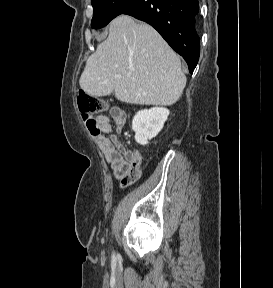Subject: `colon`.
I'll return each instance as SVG.
<instances>
[{
    "instance_id": "5ec220e1",
    "label": "colon",
    "mask_w": 273,
    "mask_h": 288,
    "mask_svg": "<svg viewBox=\"0 0 273 288\" xmlns=\"http://www.w3.org/2000/svg\"><path fill=\"white\" fill-rule=\"evenodd\" d=\"M77 103L87 129L91 134L98 135L100 133V124L97 117L106 110V103L100 98L83 92L78 94Z\"/></svg>"
}]
</instances>
